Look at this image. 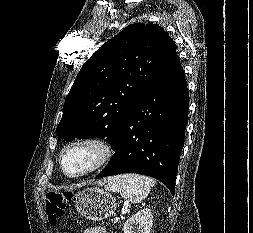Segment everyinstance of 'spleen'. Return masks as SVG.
Returning <instances> with one entry per match:
<instances>
[{"label": "spleen", "mask_w": 253, "mask_h": 233, "mask_svg": "<svg viewBox=\"0 0 253 233\" xmlns=\"http://www.w3.org/2000/svg\"><path fill=\"white\" fill-rule=\"evenodd\" d=\"M154 185L155 181L147 176L121 174L111 177L105 185V189L119 192L121 197L129 199L133 203H140L148 196Z\"/></svg>", "instance_id": "1"}]
</instances>
